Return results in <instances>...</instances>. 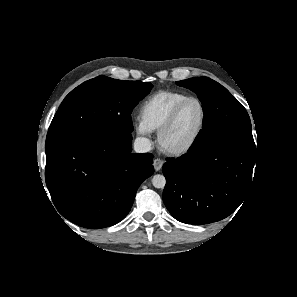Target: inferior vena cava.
Listing matches in <instances>:
<instances>
[{
  "mask_svg": "<svg viewBox=\"0 0 297 297\" xmlns=\"http://www.w3.org/2000/svg\"><path fill=\"white\" fill-rule=\"evenodd\" d=\"M133 148L136 153H146L151 150V142L148 138L138 137L134 141Z\"/></svg>",
  "mask_w": 297,
  "mask_h": 297,
  "instance_id": "inferior-vena-cava-1",
  "label": "inferior vena cava"
}]
</instances>
